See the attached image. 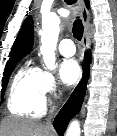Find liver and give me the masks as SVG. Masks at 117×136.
<instances>
[{
  "mask_svg": "<svg viewBox=\"0 0 117 136\" xmlns=\"http://www.w3.org/2000/svg\"><path fill=\"white\" fill-rule=\"evenodd\" d=\"M3 136H53L51 128L36 121L9 117L2 121Z\"/></svg>",
  "mask_w": 117,
  "mask_h": 136,
  "instance_id": "1",
  "label": "liver"
}]
</instances>
